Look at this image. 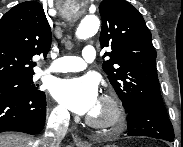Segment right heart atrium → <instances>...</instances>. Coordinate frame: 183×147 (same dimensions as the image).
<instances>
[{
    "instance_id": "right-heart-atrium-1",
    "label": "right heart atrium",
    "mask_w": 183,
    "mask_h": 147,
    "mask_svg": "<svg viewBox=\"0 0 183 147\" xmlns=\"http://www.w3.org/2000/svg\"><path fill=\"white\" fill-rule=\"evenodd\" d=\"M49 119L55 125H62L67 122L68 113L62 106L58 105L51 109Z\"/></svg>"
}]
</instances>
